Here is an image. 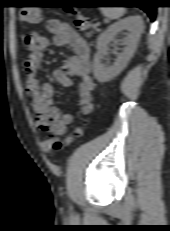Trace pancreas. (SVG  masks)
<instances>
[{
  "label": "pancreas",
  "mask_w": 170,
  "mask_h": 231,
  "mask_svg": "<svg viewBox=\"0 0 170 231\" xmlns=\"http://www.w3.org/2000/svg\"><path fill=\"white\" fill-rule=\"evenodd\" d=\"M94 29H95L96 31H99V29H97L96 27H94Z\"/></svg>",
  "instance_id": "cf45deb5"
}]
</instances>
